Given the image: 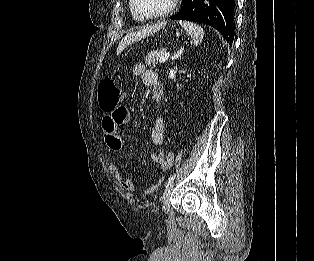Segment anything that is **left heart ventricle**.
<instances>
[{"instance_id": "left-heart-ventricle-1", "label": "left heart ventricle", "mask_w": 314, "mask_h": 261, "mask_svg": "<svg viewBox=\"0 0 314 261\" xmlns=\"http://www.w3.org/2000/svg\"><path fill=\"white\" fill-rule=\"evenodd\" d=\"M171 0H137L138 8L145 14H152L166 9Z\"/></svg>"}]
</instances>
